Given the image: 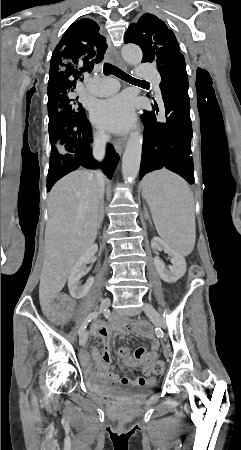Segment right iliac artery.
Returning a JSON list of instances; mask_svg holds the SVG:
<instances>
[{"label": "right iliac artery", "mask_w": 241, "mask_h": 450, "mask_svg": "<svg viewBox=\"0 0 241 450\" xmlns=\"http://www.w3.org/2000/svg\"><path fill=\"white\" fill-rule=\"evenodd\" d=\"M99 315L98 312H92L87 319L85 320V322L81 325V327L79 328V335H82L87 327L88 322H90L91 320L95 319L97 316Z\"/></svg>", "instance_id": "82829eb1"}]
</instances>
